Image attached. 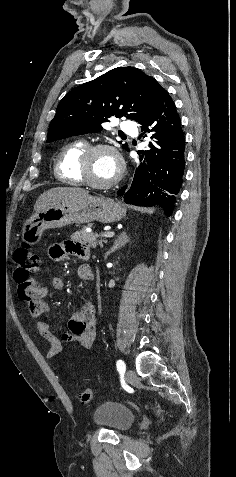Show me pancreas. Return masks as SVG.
I'll return each instance as SVG.
<instances>
[{"mask_svg": "<svg viewBox=\"0 0 236 477\" xmlns=\"http://www.w3.org/2000/svg\"><path fill=\"white\" fill-rule=\"evenodd\" d=\"M102 234L98 235L92 232H87L84 227L80 231L74 232L71 235V239L81 244H88V246L91 248H96L97 244H99L102 247L103 243L106 242L102 238L97 239V237L102 236Z\"/></svg>", "mask_w": 236, "mask_h": 477, "instance_id": "pancreas-1", "label": "pancreas"}]
</instances>
